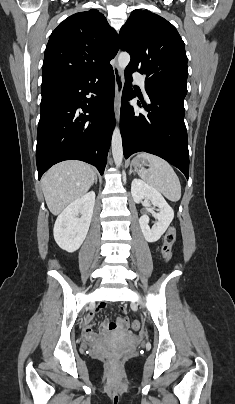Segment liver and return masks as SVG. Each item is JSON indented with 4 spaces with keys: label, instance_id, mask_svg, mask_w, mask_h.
I'll return each mask as SVG.
<instances>
[{
    "label": "liver",
    "instance_id": "obj_1",
    "mask_svg": "<svg viewBox=\"0 0 235 404\" xmlns=\"http://www.w3.org/2000/svg\"><path fill=\"white\" fill-rule=\"evenodd\" d=\"M94 169L87 163L68 160L52 166L42 177L41 186L48 209L58 215L93 185Z\"/></svg>",
    "mask_w": 235,
    "mask_h": 404
}]
</instances>
